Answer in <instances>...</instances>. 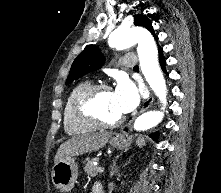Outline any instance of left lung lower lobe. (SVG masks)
<instances>
[{
	"instance_id": "obj_1",
	"label": "left lung lower lobe",
	"mask_w": 221,
	"mask_h": 193,
	"mask_svg": "<svg viewBox=\"0 0 221 193\" xmlns=\"http://www.w3.org/2000/svg\"><path fill=\"white\" fill-rule=\"evenodd\" d=\"M158 52H159L160 65H161L163 71L168 75V73H167L166 70H165L166 61H165V59L163 58V54H162L163 49L160 48V47H158ZM150 137H152L153 139H155L156 141H158V140H157V138H158V132L152 133V134L150 135Z\"/></svg>"
}]
</instances>
